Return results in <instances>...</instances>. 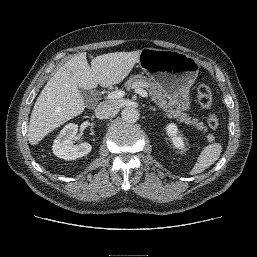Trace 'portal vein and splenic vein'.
<instances>
[{
	"instance_id": "obj_1",
	"label": "portal vein and splenic vein",
	"mask_w": 257,
	"mask_h": 257,
	"mask_svg": "<svg viewBox=\"0 0 257 257\" xmlns=\"http://www.w3.org/2000/svg\"><path fill=\"white\" fill-rule=\"evenodd\" d=\"M135 92L139 95H141L142 97L148 99V93L146 90L142 89V88H136ZM125 95V92L123 90H116V91H112L107 95V99L108 100H114V99H120Z\"/></svg>"
}]
</instances>
